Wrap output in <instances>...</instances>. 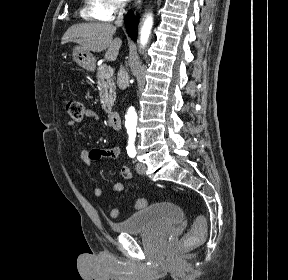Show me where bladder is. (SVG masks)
<instances>
[{"instance_id":"bladder-1","label":"bladder","mask_w":288,"mask_h":280,"mask_svg":"<svg viewBox=\"0 0 288 280\" xmlns=\"http://www.w3.org/2000/svg\"><path fill=\"white\" fill-rule=\"evenodd\" d=\"M184 218L182 209L173 203H156L134 213L124 221L114 224L118 233L137 234L151 230L169 228Z\"/></svg>"}]
</instances>
